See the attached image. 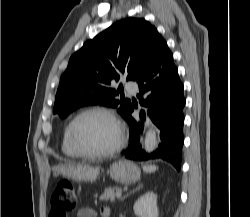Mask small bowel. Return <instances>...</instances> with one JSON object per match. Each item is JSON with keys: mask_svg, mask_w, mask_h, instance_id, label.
<instances>
[{"mask_svg": "<svg viewBox=\"0 0 250 217\" xmlns=\"http://www.w3.org/2000/svg\"><path fill=\"white\" fill-rule=\"evenodd\" d=\"M101 217H109L110 209L108 207H102L100 209ZM77 217H96V212L92 208H81L77 211Z\"/></svg>", "mask_w": 250, "mask_h": 217, "instance_id": "small-bowel-1", "label": "small bowel"}]
</instances>
